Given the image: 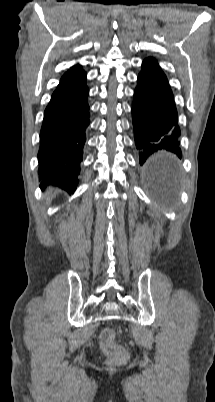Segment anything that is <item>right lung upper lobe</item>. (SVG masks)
Wrapping results in <instances>:
<instances>
[{
    "mask_svg": "<svg viewBox=\"0 0 215 402\" xmlns=\"http://www.w3.org/2000/svg\"><path fill=\"white\" fill-rule=\"evenodd\" d=\"M86 76V72L82 69L80 65L72 66L61 78L59 85L57 86L55 92L68 89L78 82H80Z\"/></svg>",
    "mask_w": 215,
    "mask_h": 402,
    "instance_id": "obj_1",
    "label": "right lung upper lobe"
}]
</instances>
